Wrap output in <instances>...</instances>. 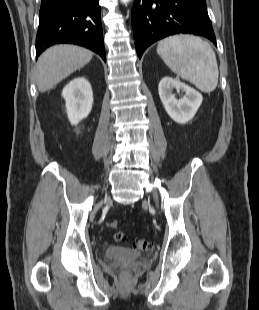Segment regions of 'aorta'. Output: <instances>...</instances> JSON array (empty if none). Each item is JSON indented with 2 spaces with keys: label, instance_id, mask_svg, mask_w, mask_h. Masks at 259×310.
Returning a JSON list of instances; mask_svg holds the SVG:
<instances>
[{
  "label": "aorta",
  "instance_id": "aorta-1",
  "mask_svg": "<svg viewBox=\"0 0 259 310\" xmlns=\"http://www.w3.org/2000/svg\"><path fill=\"white\" fill-rule=\"evenodd\" d=\"M130 1H131V0H121V2L124 3V4H125V3H128V2H130Z\"/></svg>",
  "mask_w": 259,
  "mask_h": 310
}]
</instances>
